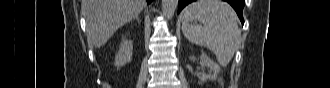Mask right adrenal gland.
Instances as JSON below:
<instances>
[{
    "mask_svg": "<svg viewBox=\"0 0 330 88\" xmlns=\"http://www.w3.org/2000/svg\"><path fill=\"white\" fill-rule=\"evenodd\" d=\"M135 19H136L139 23L141 22L139 16L135 17Z\"/></svg>",
    "mask_w": 330,
    "mask_h": 88,
    "instance_id": "right-adrenal-gland-1",
    "label": "right adrenal gland"
}]
</instances>
